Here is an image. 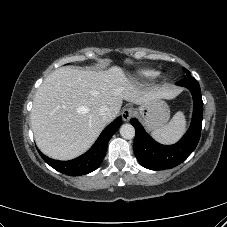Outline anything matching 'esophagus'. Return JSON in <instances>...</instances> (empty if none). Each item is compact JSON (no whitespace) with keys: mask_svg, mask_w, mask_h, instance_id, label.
<instances>
[{"mask_svg":"<svg viewBox=\"0 0 227 227\" xmlns=\"http://www.w3.org/2000/svg\"><path fill=\"white\" fill-rule=\"evenodd\" d=\"M133 116V110L130 107H127L122 112V118L125 122L129 121Z\"/></svg>","mask_w":227,"mask_h":227,"instance_id":"1","label":"esophagus"}]
</instances>
